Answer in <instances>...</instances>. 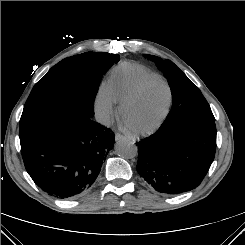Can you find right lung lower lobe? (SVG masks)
Wrapping results in <instances>:
<instances>
[{
    "instance_id": "obj_1",
    "label": "right lung lower lobe",
    "mask_w": 245,
    "mask_h": 245,
    "mask_svg": "<svg viewBox=\"0 0 245 245\" xmlns=\"http://www.w3.org/2000/svg\"><path fill=\"white\" fill-rule=\"evenodd\" d=\"M82 62L95 72L97 61ZM114 134L91 118L61 120L21 143L25 168L35 184L60 199L76 198L95 182Z\"/></svg>"
}]
</instances>
